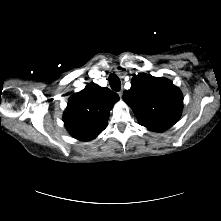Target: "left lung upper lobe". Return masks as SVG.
<instances>
[{
    "label": "left lung upper lobe",
    "instance_id": "left-lung-upper-lobe-1",
    "mask_svg": "<svg viewBox=\"0 0 221 221\" xmlns=\"http://www.w3.org/2000/svg\"><path fill=\"white\" fill-rule=\"evenodd\" d=\"M140 124L150 131L163 132L180 118L183 98L180 90L165 78L138 74L123 93Z\"/></svg>",
    "mask_w": 221,
    "mask_h": 221
}]
</instances>
